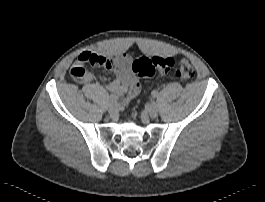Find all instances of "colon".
I'll use <instances>...</instances> for the list:
<instances>
[{
	"label": "colon",
	"mask_w": 265,
	"mask_h": 202,
	"mask_svg": "<svg viewBox=\"0 0 265 202\" xmlns=\"http://www.w3.org/2000/svg\"><path fill=\"white\" fill-rule=\"evenodd\" d=\"M133 71L144 78L161 77L168 73L179 81H187L195 76L192 64L185 60L176 62L171 57H146L137 58L132 64ZM71 76L76 80H82L86 75L83 66H75L70 70Z\"/></svg>",
	"instance_id": "5ec220e1"
}]
</instances>
